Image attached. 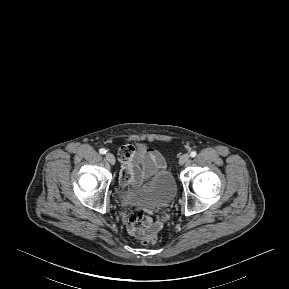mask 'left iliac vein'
<instances>
[{
	"label": "left iliac vein",
	"instance_id": "4c4485c4",
	"mask_svg": "<svg viewBox=\"0 0 289 289\" xmlns=\"http://www.w3.org/2000/svg\"><path fill=\"white\" fill-rule=\"evenodd\" d=\"M188 160H189V155L183 154L179 159V164L184 165L186 162H188Z\"/></svg>",
	"mask_w": 289,
	"mask_h": 289
}]
</instances>
